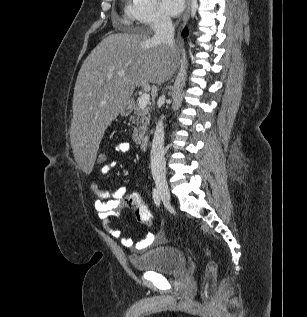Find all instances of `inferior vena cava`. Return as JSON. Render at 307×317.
<instances>
[{
	"instance_id": "obj_1",
	"label": "inferior vena cava",
	"mask_w": 307,
	"mask_h": 317,
	"mask_svg": "<svg viewBox=\"0 0 307 317\" xmlns=\"http://www.w3.org/2000/svg\"><path fill=\"white\" fill-rule=\"evenodd\" d=\"M155 42H162L173 49L174 47V26L169 16L160 14L153 24ZM164 101V96L162 97ZM151 171L153 177H164L166 173L165 151H164V129L162 118L158 121L152 141L150 153Z\"/></svg>"
}]
</instances>
